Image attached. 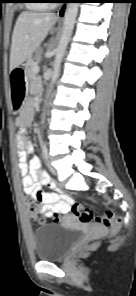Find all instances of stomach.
<instances>
[{"mask_svg":"<svg viewBox=\"0 0 136 296\" xmlns=\"http://www.w3.org/2000/svg\"><path fill=\"white\" fill-rule=\"evenodd\" d=\"M27 69H12V84H26ZM28 90V85H12L11 94L13 103L11 107L13 111H21L25 101H30V96L25 93Z\"/></svg>","mask_w":136,"mask_h":296,"instance_id":"1","label":"stomach"}]
</instances>
